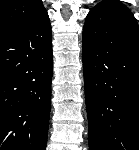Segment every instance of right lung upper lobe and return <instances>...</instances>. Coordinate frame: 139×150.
Wrapping results in <instances>:
<instances>
[{"label": "right lung upper lobe", "mask_w": 139, "mask_h": 150, "mask_svg": "<svg viewBox=\"0 0 139 150\" xmlns=\"http://www.w3.org/2000/svg\"><path fill=\"white\" fill-rule=\"evenodd\" d=\"M45 11L41 0H0V36L28 25Z\"/></svg>", "instance_id": "cb5924a9"}]
</instances>
